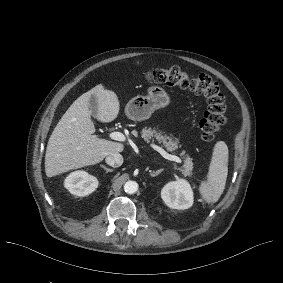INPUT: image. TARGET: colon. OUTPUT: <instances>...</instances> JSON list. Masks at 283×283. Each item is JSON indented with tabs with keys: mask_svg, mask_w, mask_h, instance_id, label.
<instances>
[{
	"mask_svg": "<svg viewBox=\"0 0 283 283\" xmlns=\"http://www.w3.org/2000/svg\"><path fill=\"white\" fill-rule=\"evenodd\" d=\"M146 81L168 87L187 89L205 97L207 109L199 123L201 137L206 142L215 139L226 121L225 96L219 84L209 75H190L179 67L154 69L146 72Z\"/></svg>",
	"mask_w": 283,
	"mask_h": 283,
	"instance_id": "obj_1",
	"label": "colon"
}]
</instances>
